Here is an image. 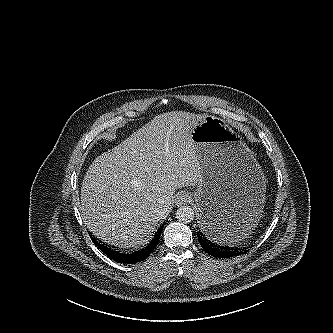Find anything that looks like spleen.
Masks as SVG:
<instances>
[{"mask_svg":"<svg viewBox=\"0 0 333 333\" xmlns=\"http://www.w3.org/2000/svg\"><path fill=\"white\" fill-rule=\"evenodd\" d=\"M251 232L252 229L250 228H236L235 230L228 232L224 238L228 243L240 242L248 238Z\"/></svg>","mask_w":333,"mask_h":333,"instance_id":"3e777b00","label":"spleen"}]
</instances>
